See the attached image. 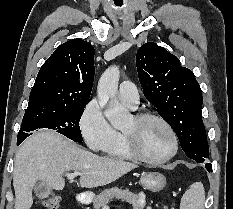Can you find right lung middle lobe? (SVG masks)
<instances>
[{"label": "right lung middle lobe", "mask_w": 233, "mask_h": 209, "mask_svg": "<svg viewBox=\"0 0 233 209\" xmlns=\"http://www.w3.org/2000/svg\"><path fill=\"white\" fill-rule=\"evenodd\" d=\"M87 102L71 106L36 105L25 111L18 140L36 129H53L75 142H82L79 121Z\"/></svg>", "instance_id": "right-lung-middle-lobe-1"}]
</instances>
